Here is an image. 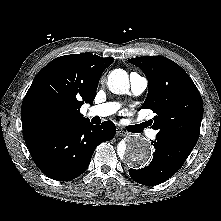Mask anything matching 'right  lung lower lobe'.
<instances>
[{
  "instance_id": "1",
  "label": "right lung lower lobe",
  "mask_w": 221,
  "mask_h": 221,
  "mask_svg": "<svg viewBox=\"0 0 221 221\" xmlns=\"http://www.w3.org/2000/svg\"><path fill=\"white\" fill-rule=\"evenodd\" d=\"M116 133L113 122L102 125L88 122L54 129L25 139L31 157L48 177L70 181L89 166L96 147L111 140Z\"/></svg>"
}]
</instances>
